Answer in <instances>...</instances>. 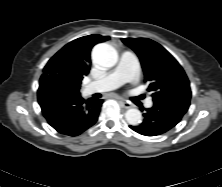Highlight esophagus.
Segmentation results:
<instances>
[{
    "mask_svg": "<svg viewBox=\"0 0 222 187\" xmlns=\"http://www.w3.org/2000/svg\"><path fill=\"white\" fill-rule=\"evenodd\" d=\"M121 104L126 109H129V108L133 107V105L130 102L125 101V100H121Z\"/></svg>",
    "mask_w": 222,
    "mask_h": 187,
    "instance_id": "1",
    "label": "esophagus"
}]
</instances>
